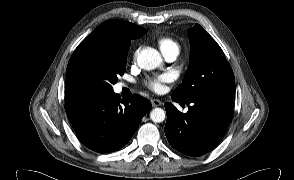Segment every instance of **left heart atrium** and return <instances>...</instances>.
<instances>
[{"instance_id": "left-heart-atrium-1", "label": "left heart atrium", "mask_w": 294, "mask_h": 180, "mask_svg": "<svg viewBox=\"0 0 294 180\" xmlns=\"http://www.w3.org/2000/svg\"><path fill=\"white\" fill-rule=\"evenodd\" d=\"M168 81L167 76H160L156 79H151L146 82L149 89H151L154 92H161L164 88L163 83Z\"/></svg>"}]
</instances>
